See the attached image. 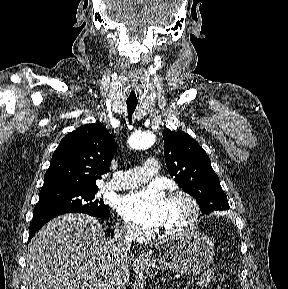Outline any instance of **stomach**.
<instances>
[{"label":"stomach","mask_w":288,"mask_h":289,"mask_svg":"<svg viewBox=\"0 0 288 289\" xmlns=\"http://www.w3.org/2000/svg\"><path fill=\"white\" fill-rule=\"evenodd\" d=\"M215 255L214 244L204 232L195 231L173 242L163 256L144 262L148 268L197 275L208 268Z\"/></svg>","instance_id":"stomach-1"}]
</instances>
